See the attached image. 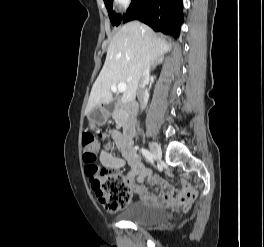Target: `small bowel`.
I'll return each mask as SVG.
<instances>
[{"label": "small bowel", "instance_id": "1", "mask_svg": "<svg viewBox=\"0 0 264 247\" xmlns=\"http://www.w3.org/2000/svg\"><path fill=\"white\" fill-rule=\"evenodd\" d=\"M114 138L122 153V158H117L111 153L103 150L100 154L101 163L111 169L121 168L124 165L130 167V173L126 176L127 183L132 186L133 190L142 196L145 201L156 200L163 204H189L195 196V187L189 183H182L181 190L176 191L162 177H155L151 180V184L161 189L159 196H150L146 194L145 187L135 185L136 180L149 175V170L140 161L135 149L133 148L132 140L118 132H114Z\"/></svg>", "mask_w": 264, "mask_h": 247}]
</instances>
